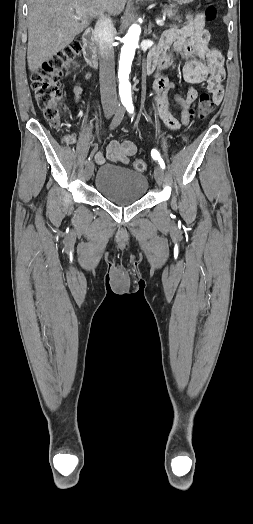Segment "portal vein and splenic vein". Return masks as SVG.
<instances>
[{
	"label": "portal vein and splenic vein",
	"instance_id": "18ae733b",
	"mask_svg": "<svg viewBox=\"0 0 253 524\" xmlns=\"http://www.w3.org/2000/svg\"><path fill=\"white\" fill-rule=\"evenodd\" d=\"M76 13H77L78 15H84L85 10H84V9L77 8V9H76ZM156 23H157V25H160V26L164 25V21H163L162 19H156Z\"/></svg>",
	"mask_w": 253,
	"mask_h": 524
}]
</instances>
